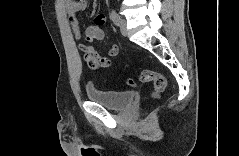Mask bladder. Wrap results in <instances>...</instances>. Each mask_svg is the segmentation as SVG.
Masks as SVG:
<instances>
[{
	"label": "bladder",
	"mask_w": 239,
	"mask_h": 156,
	"mask_svg": "<svg viewBox=\"0 0 239 156\" xmlns=\"http://www.w3.org/2000/svg\"><path fill=\"white\" fill-rule=\"evenodd\" d=\"M85 94L89 101L114 111L126 110L135 99L133 91H111L90 86L86 88Z\"/></svg>",
	"instance_id": "bladder-1"
}]
</instances>
